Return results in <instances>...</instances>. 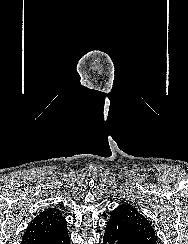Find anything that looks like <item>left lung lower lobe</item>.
<instances>
[{
    "label": "left lung lower lobe",
    "mask_w": 188,
    "mask_h": 244,
    "mask_svg": "<svg viewBox=\"0 0 188 244\" xmlns=\"http://www.w3.org/2000/svg\"><path fill=\"white\" fill-rule=\"evenodd\" d=\"M104 244H149L136 235L129 225L116 213H111L104 233Z\"/></svg>",
    "instance_id": "obj_1"
}]
</instances>
